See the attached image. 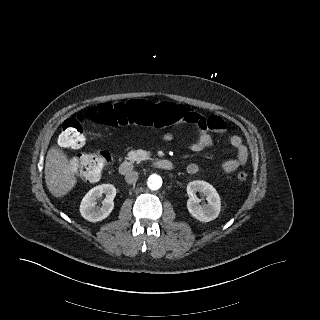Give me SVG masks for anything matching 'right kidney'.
I'll return each instance as SVG.
<instances>
[{"label":"right kidney","mask_w":320,"mask_h":320,"mask_svg":"<svg viewBox=\"0 0 320 320\" xmlns=\"http://www.w3.org/2000/svg\"><path fill=\"white\" fill-rule=\"evenodd\" d=\"M106 194L101 206H97V199ZM116 188L111 184H102L92 188L82 199L80 213L84 219L90 222L102 221L110 215L114 208Z\"/></svg>","instance_id":"ca27d5eb"}]
</instances>
